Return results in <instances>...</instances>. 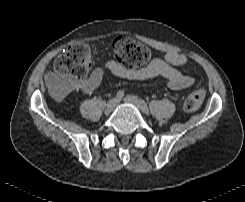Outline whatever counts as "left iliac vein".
Wrapping results in <instances>:
<instances>
[{
	"label": "left iliac vein",
	"instance_id": "1",
	"mask_svg": "<svg viewBox=\"0 0 245 202\" xmlns=\"http://www.w3.org/2000/svg\"><path fill=\"white\" fill-rule=\"evenodd\" d=\"M123 100L124 102L128 104L135 105L140 111L143 112L142 107H141V102L136 96L128 95Z\"/></svg>",
	"mask_w": 245,
	"mask_h": 202
}]
</instances>
